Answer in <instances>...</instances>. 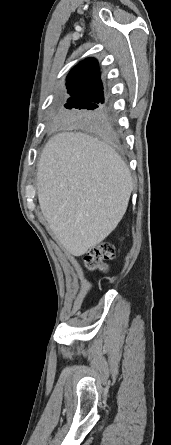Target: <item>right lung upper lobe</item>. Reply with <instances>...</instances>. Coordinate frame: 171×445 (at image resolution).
<instances>
[{
  "label": "right lung upper lobe",
  "instance_id": "right-lung-upper-lobe-1",
  "mask_svg": "<svg viewBox=\"0 0 171 445\" xmlns=\"http://www.w3.org/2000/svg\"><path fill=\"white\" fill-rule=\"evenodd\" d=\"M67 92L100 96L104 100L98 62L94 58L81 61L67 77Z\"/></svg>",
  "mask_w": 171,
  "mask_h": 445
}]
</instances>
